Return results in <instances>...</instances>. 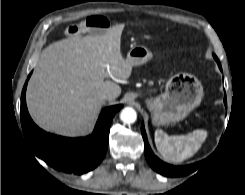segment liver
<instances>
[{
    "label": "liver",
    "mask_w": 245,
    "mask_h": 195,
    "mask_svg": "<svg viewBox=\"0 0 245 195\" xmlns=\"http://www.w3.org/2000/svg\"><path fill=\"white\" fill-rule=\"evenodd\" d=\"M124 24L102 35L73 37L54 42L39 58L27 88V107L33 120L46 131L79 136L91 128L103 105L101 95L121 94L133 65L121 53Z\"/></svg>",
    "instance_id": "6515ba94"
}]
</instances>
